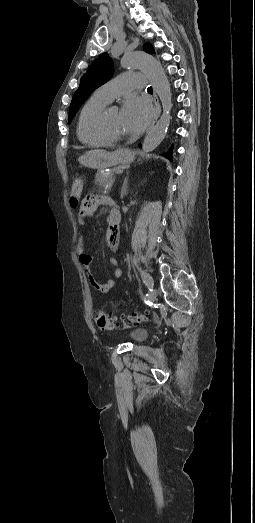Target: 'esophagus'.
Returning <instances> with one entry per match:
<instances>
[{
    "instance_id": "obj_1",
    "label": "esophagus",
    "mask_w": 255,
    "mask_h": 523,
    "mask_svg": "<svg viewBox=\"0 0 255 523\" xmlns=\"http://www.w3.org/2000/svg\"><path fill=\"white\" fill-rule=\"evenodd\" d=\"M154 105H155V114H154L152 123L150 125V128H152L153 125H155V123H156V121L159 118V115L161 113L160 103H159V100L157 98V95H156L155 91H154Z\"/></svg>"
}]
</instances>
